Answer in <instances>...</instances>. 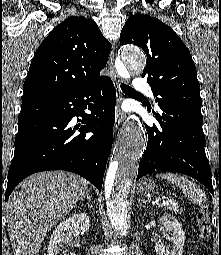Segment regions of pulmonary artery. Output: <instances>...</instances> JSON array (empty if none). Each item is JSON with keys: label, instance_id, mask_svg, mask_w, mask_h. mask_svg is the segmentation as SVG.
<instances>
[{"label": "pulmonary artery", "instance_id": "1", "mask_svg": "<svg viewBox=\"0 0 221 255\" xmlns=\"http://www.w3.org/2000/svg\"><path fill=\"white\" fill-rule=\"evenodd\" d=\"M134 89L141 95H152L151 85L144 79L137 78L134 81Z\"/></svg>", "mask_w": 221, "mask_h": 255}]
</instances>
